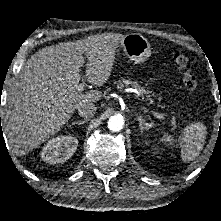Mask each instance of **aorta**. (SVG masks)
<instances>
[{"label":"aorta","instance_id":"aorta-1","mask_svg":"<svg viewBox=\"0 0 221 221\" xmlns=\"http://www.w3.org/2000/svg\"><path fill=\"white\" fill-rule=\"evenodd\" d=\"M124 126V119L121 115H115L109 118L108 128L113 132H119Z\"/></svg>","mask_w":221,"mask_h":221}]
</instances>
